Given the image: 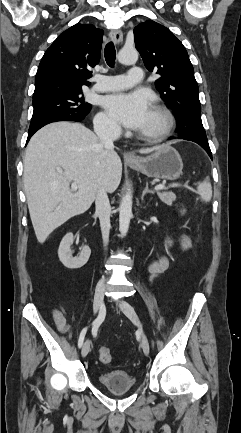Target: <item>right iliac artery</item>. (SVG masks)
Masks as SVG:
<instances>
[{
  "label": "right iliac artery",
  "mask_w": 241,
  "mask_h": 433,
  "mask_svg": "<svg viewBox=\"0 0 241 433\" xmlns=\"http://www.w3.org/2000/svg\"><path fill=\"white\" fill-rule=\"evenodd\" d=\"M105 315H106L105 306L102 305L101 308H100V312H99L98 317L92 323L93 326H99L103 322V320L105 319ZM86 332H87V327L83 328L82 331H81V333H80V336H79V339H78V347L79 348H81L82 345H83V341H84Z\"/></svg>",
  "instance_id": "right-iliac-artery-1"
}]
</instances>
